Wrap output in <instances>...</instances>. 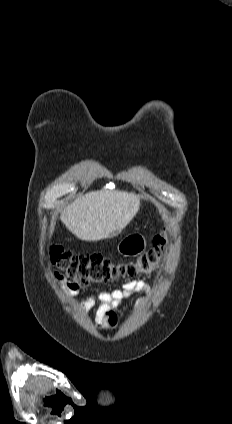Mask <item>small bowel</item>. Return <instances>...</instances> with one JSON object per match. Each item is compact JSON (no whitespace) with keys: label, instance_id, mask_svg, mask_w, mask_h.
Listing matches in <instances>:
<instances>
[{"label":"small bowel","instance_id":"small-bowel-1","mask_svg":"<svg viewBox=\"0 0 232 424\" xmlns=\"http://www.w3.org/2000/svg\"><path fill=\"white\" fill-rule=\"evenodd\" d=\"M149 291V285L145 281L131 280L124 283L120 288L102 289L97 294L86 296L81 301V308L84 311L96 308V324L101 328H113L116 324L114 310L119 307L126 298L136 293H141L143 295L136 299V307L144 306L146 304L145 295H147ZM64 293L67 296H73L77 293V289L66 288Z\"/></svg>","mask_w":232,"mask_h":424}]
</instances>
